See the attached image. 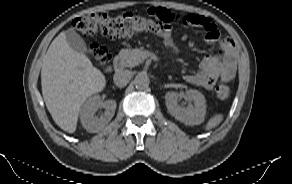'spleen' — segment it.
Returning a JSON list of instances; mask_svg holds the SVG:
<instances>
[{"label":"spleen","mask_w":292,"mask_h":184,"mask_svg":"<svg viewBox=\"0 0 292 184\" xmlns=\"http://www.w3.org/2000/svg\"><path fill=\"white\" fill-rule=\"evenodd\" d=\"M223 120V115L222 114H216L213 117L209 119L205 126V130H211L215 127H217Z\"/></svg>","instance_id":"3e777b00"}]
</instances>
